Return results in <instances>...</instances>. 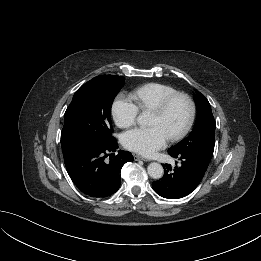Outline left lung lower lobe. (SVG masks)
Instances as JSON below:
<instances>
[{
	"label": "left lung lower lobe",
	"instance_id": "0a47b994",
	"mask_svg": "<svg viewBox=\"0 0 261 261\" xmlns=\"http://www.w3.org/2000/svg\"><path fill=\"white\" fill-rule=\"evenodd\" d=\"M169 154L176 160L175 167L170 164L163 165L164 175L160 180L152 182V187L161 197L178 199L195 190L208 166L200 159L186 153Z\"/></svg>",
	"mask_w": 261,
	"mask_h": 261
}]
</instances>
